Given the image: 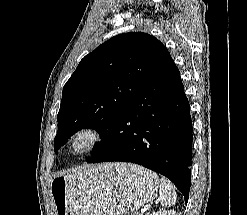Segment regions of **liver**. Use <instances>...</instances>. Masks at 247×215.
Here are the masks:
<instances>
[{"label":"liver","mask_w":247,"mask_h":215,"mask_svg":"<svg viewBox=\"0 0 247 215\" xmlns=\"http://www.w3.org/2000/svg\"><path fill=\"white\" fill-rule=\"evenodd\" d=\"M111 166H112V164H106V165H104V168H105V170H110ZM79 170H82V169H79Z\"/></svg>","instance_id":"1"}]
</instances>
